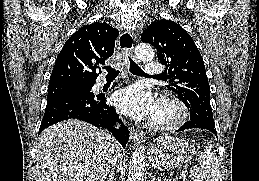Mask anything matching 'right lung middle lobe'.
I'll return each mask as SVG.
<instances>
[{"label":"right lung middle lobe","instance_id":"dd1d6c3e","mask_svg":"<svg viewBox=\"0 0 259 181\" xmlns=\"http://www.w3.org/2000/svg\"><path fill=\"white\" fill-rule=\"evenodd\" d=\"M90 90H91V84H88V83H64V84L50 85L48 86L47 102L61 95L69 94L72 92L91 93Z\"/></svg>","mask_w":259,"mask_h":181}]
</instances>
